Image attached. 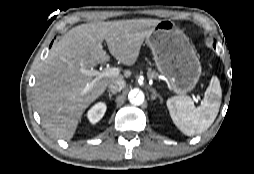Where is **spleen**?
<instances>
[{
	"instance_id": "obj_1",
	"label": "spleen",
	"mask_w": 254,
	"mask_h": 174,
	"mask_svg": "<svg viewBox=\"0 0 254 174\" xmlns=\"http://www.w3.org/2000/svg\"><path fill=\"white\" fill-rule=\"evenodd\" d=\"M222 90L217 77H213L205 91L203 102L195 107L189 96H175L167 100L174 124L187 136L206 131L214 122L221 105Z\"/></svg>"
}]
</instances>
